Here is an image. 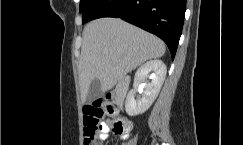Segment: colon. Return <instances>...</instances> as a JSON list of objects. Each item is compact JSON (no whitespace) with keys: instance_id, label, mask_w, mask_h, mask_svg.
I'll list each match as a JSON object with an SVG mask.
<instances>
[{"instance_id":"obj_1","label":"colon","mask_w":243,"mask_h":145,"mask_svg":"<svg viewBox=\"0 0 243 145\" xmlns=\"http://www.w3.org/2000/svg\"><path fill=\"white\" fill-rule=\"evenodd\" d=\"M115 113V108L101 99L83 108L84 145H99L97 135L102 127V119ZM111 128L115 134L120 135L129 128V124L126 119L120 118L112 121Z\"/></svg>"}]
</instances>
